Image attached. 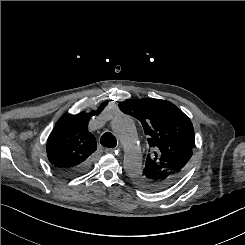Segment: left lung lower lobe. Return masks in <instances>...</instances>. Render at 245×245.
Here are the masks:
<instances>
[{"label":"left lung lower lobe","mask_w":245,"mask_h":245,"mask_svg":"<svg viewBox=\"0 0 245 245\" xmlns=\"http://www.w3.org/2000/svg\"><path fill=\"white\" fill-rule=\"evenodd\" d=\"M178 178V176L170 174H164L162 176L156 177L155 184L152 187V192H159L170 187Z\"/></svg>","instance_id":"1"}]
</instances>
